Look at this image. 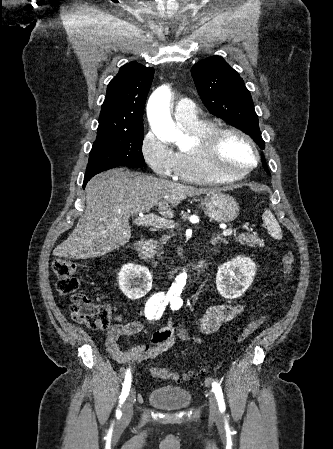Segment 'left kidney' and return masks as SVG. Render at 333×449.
Listing matches in <instances>:
<instances>
[{"instance_id": "1", "label": "left kidney", "mask_w": 333, "mask_h": 449, "mask_svg": "<svg viewBox=\"0 0 333 449\" xmlns=\"http://www.w3.org/2000/svg\"><path fill=\"white\" fill-rule=\"evenodd\" d=\"M255 267V263L245 256H238L222 264L216 274L217 290L228 299L242 296L253 282Z\"/></svg>"}]
</instances>
